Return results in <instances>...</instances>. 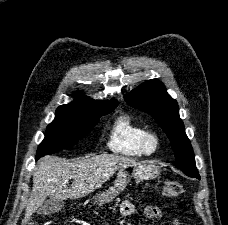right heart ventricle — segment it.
<instances>
[{
    "mask_svg": "<svg viewBox=\"0 0 228 225\" xmlns=\"http://www.w3.org/2000/svg\"><path fill=\"white\" fill-rule=\"evenodd\" d=\"M148 133V129L137 124L130 116L123 115L114 122L107 146L113 153L119 155L147 156L150 154L145 146V138Z\"/></svg>",
    "mask_w": 228,
    "mask_h": 225,
    "instance_id": "1",
    "label": "right heart ventricle"
}]
</instances>
